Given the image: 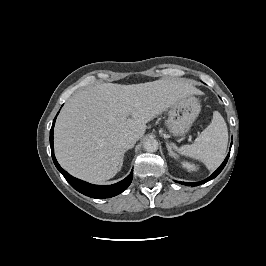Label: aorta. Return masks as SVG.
Returning <instances> with one entry per match:
<instances>
[{
  "label": "aorta",
  "instance_id": "aorta-1",
  "mask_svg": "<svg viewBox=\"0 0 266 266\" xmlns=\"http://www.w3.org/2000/svg\"><path fill=\"white\" fill-rule=\"evenodd\" d=\"M144 149L147 152H156L158 149V142L155 139H147L144 143Z\"/></svg>",
  "mask_w": 266,
  "mask_h": 266
}]
</instances>
